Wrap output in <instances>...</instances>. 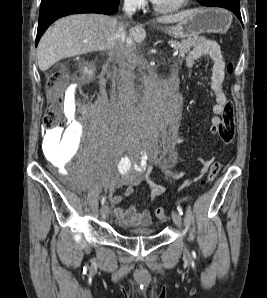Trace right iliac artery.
I'll list each match as a JSON object with an SVG mask.
<instances>
[{"label":"right iliac artery","instance_id":"obj_1","mask_svg":"<svg viewBox=\"0 0 267 298\" xmlns=\"http://www.w3.org/2000/svg\"><path fill=\"white\" fill-rule=\"evenodd\" d=\"M105 201H106V198L105 197H102L101 204L103 205L105 203Z\"/></svg>","mask_w":267,"mask_h":298}]
</instances>
